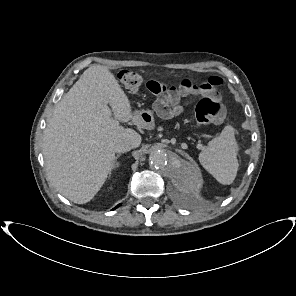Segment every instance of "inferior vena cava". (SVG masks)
Instances as JSON below:
<instances>
[{
	"mask_svg": "<svg viewBox=\"0 0 296 296\" xmlns=\"http://www.w3.org/2000/svg\"><path fill=\"white\" fill-rule=\"evenodd\" d=\"M134 147L133 143L130 140H120L119 142L116 143L115 145V151L116 152H128Z\"/></svg>",
	"mask_w": 296,
	"mask_h": 296,
	"instance_id": "602c4592",
	"label": "inferior vena cava"
}]
</instances>
